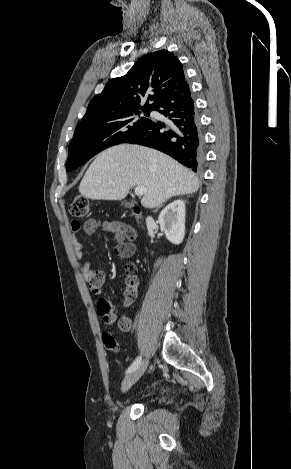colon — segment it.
Segmentation results:
<instances>
[{
	"label": "colon",
	"mask_w": 291,
	"mask_h": 469,
	"mask_svg": "<svg viewBox=\"0 0 291 469\" xmlns=\"http://www.w3.org/2000/svg\"><path fill=\"white\" fill-rule=\"evenodd\" d=\"M70 213L72 216L84 220L87 219L91 214V205L85 196L78 195L74 198L71 206ZM135 214H139L138 210H135ZM134 251V246L130 243H124L117 248V254L120 256H126L132 254ZM125 274L127 276V290L128 298L125 300L126 304L132 302L134 294L138 290V281L136 278L137 267L133 263H128L125 265ZM98 301L96 305L98 306L99 317L102 320H106L108 323H113L115 321V314L113 312V307L109 304L107 300L106 293L98 294ZM103 343L108 351L117 352L119 347L117 341L110 333L103 334Z\"/></svg>",
	"instance_id": "5ec220e1"
}]
</instances>
